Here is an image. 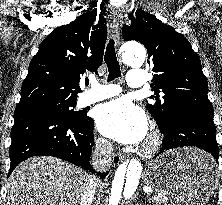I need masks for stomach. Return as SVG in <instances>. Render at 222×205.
Listing matches in <instances>:
<instances>
[{
	"label": "stomach",
	"mask_w": 222,
	"mask_h": 205,
	"mask_svg": "<svg viewBox=\"0 0 222 205\" xmlns=\"http://www.w3.org/2000/svg\"><path fill=\"white\" fill-rule=\"evenodd\" d=\"M205 152L183 148L166 152L146 170V183L173 205H203L218 185L215 166Z\"/></svg>",
	"instance_id": "0dacf381"
}]
</instances>
